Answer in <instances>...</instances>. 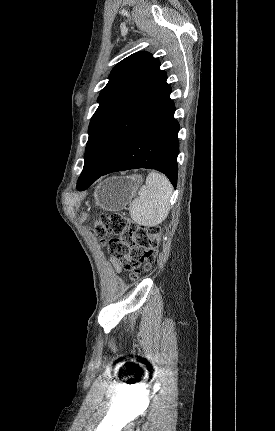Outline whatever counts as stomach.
<instances>
[{"mask_svg":"<svg viewBox=\"0 0 275 431\" xmlns=\"http://www.w3.org/2000/svg\"><path fill=\"white\" fill-rule=\"evenodd\" d=\"M142 182L141 175L106 179L95 191V202L104 210H122L131 201Z\"/></svg>","mask_w":275,"mask_h":431,"instance_id":"0dacf381","label":"stomach"}]
</instances>
